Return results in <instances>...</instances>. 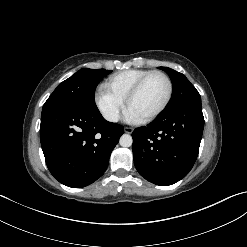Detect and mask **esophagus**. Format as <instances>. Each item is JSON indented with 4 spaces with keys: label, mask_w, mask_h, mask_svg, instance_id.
<instances>
[{
    "label": "esophagus",
    "mask_w": 247,
    "mask_h": 247,
    "mask_svg": "<svg viewBox=\"0 0 247 247\" xmlns=\"http://www.w3.org/2000/svg\"><path fill=\"white\" fill-rule=\"evenodd\" d=\"M124 132L128 133V134H131L133 132V128L132 127H125L124 128Z\"/></svg>",
    "instance_id": "esophagus-1"
}]
</instances>
